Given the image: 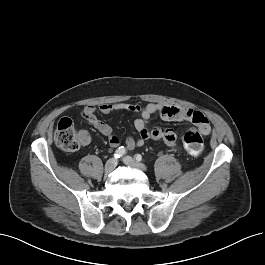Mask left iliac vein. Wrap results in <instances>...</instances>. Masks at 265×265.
<instances>
[{
	"mask_svg": "<svg viewBox=\"0 0 265 265\" xmlns=\"http://www.w3.org/2000/svg\"><path fill=\"white\" fill-rule=\"evenodd\" d=\"M123 162L128 165V166H131V167H134V168H137V169H140L142 171H146L147 170V167L142 164V163H139L137 161H135L132 157L130 156H125L123 158Z\"/></svg>",
	"mask_w": 265,
	"mask_h": 265,
	"instance_id": "1",
	"label": "left iliac vein"
}]
</instances>
